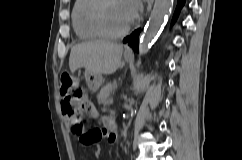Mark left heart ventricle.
<instances>
[{
	"label": "left heart ventricle",
	"instance_id": "b2bd125f",
	"mask_svg": "<svg viewBox=\"0 0 242 160\" xmlns=\"http://www.w3.org/2000/svg\"><path fill=\"white\" fill-rule=\"evenodd\" d=\"M102 21L111 33L121 32L131 22L121 0H107L102 10Z\"/></svg>",
	"mask_w": 242,
	"mask_h": 160
}]
</instances>
